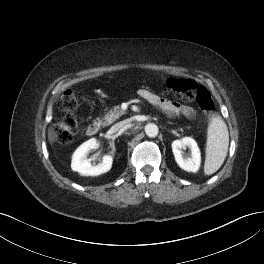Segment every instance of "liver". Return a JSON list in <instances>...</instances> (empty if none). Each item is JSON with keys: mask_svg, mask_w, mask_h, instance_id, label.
Masks as SVG:
<instances>
[{"mask_svg": "<svg viewBox=\"0 0 264 264\" xmlns=\"http://www.w3.org/2000/svg\"><path fill=\"white\" fill-rule=\"evenodd\" d=\"M48 138H49L50 143L52 144V143L54 142V141H53L54 138H53V136H52L51 133H49Z\"/></svg>", "mask_w": 264, "mask_h": 264, "instance_id": "obj_1", "label": "liver"}]
</instances>
